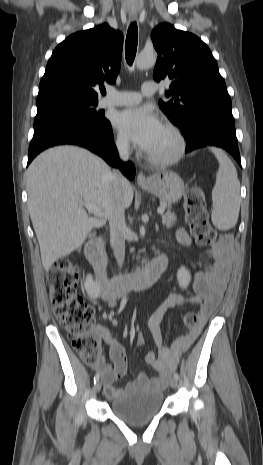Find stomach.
Returning <instances> with one entry per match:
<instances>
[{
  "label": "stomach",
  "instance_id": "1",
  "mask_svg": "<svg viewBox=\"0 0 263 465\" xmlns=\"http://www.w3.org/2000/svg\"><path fill=\"white\" fill-rule=\"evenodd\" d=\"M143 189L167 203H176L181 199L185 185L177 173L162 171L153 175L151 183Z\"/></svg>",
  "mask_w": 263,
  "mask_h": 465
}]
</instances>
